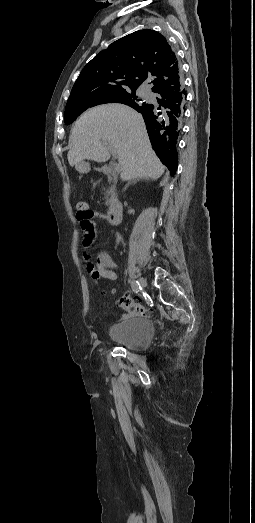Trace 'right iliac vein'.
Returning <instances> with one entry per match:
<instances>
[{"label":"right iliac vein","instance_id":"1","mask_svg":"<svg viewBox=\"0 0 255 523\" xmlns=\"http://www.w3.org/2000/svg\"><path fill=\"white\" fill-rule=\"evenodd\" d=\"M139 284L142 288H145L147 285L146 280L144 278L139 279Z\"/></svg>","mask_w":255,"mask_h":523}]
</instances>
